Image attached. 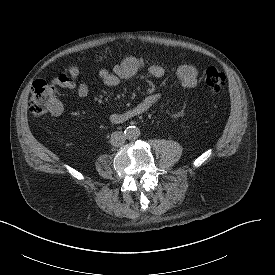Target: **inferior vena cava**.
Segmentation results:
<instances>
[{
  "instance_id": "602c4592",
  "label": "inferior vena cava",
  "mask_w": 275,
  "mask_h": 275,
  "mask_svg": "<svg viewBox=\"0 0 275 275\" xmlns=\"http://www.w3.org/2000/svg\"><path fill=\"white\" fill-rule=\"evenodd\" d=\"M125 140L126 136L122 132L116 131L111 134L110 142L115 147L123 145Z\"/></svg>"
}]
</instances>
